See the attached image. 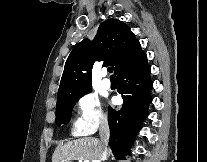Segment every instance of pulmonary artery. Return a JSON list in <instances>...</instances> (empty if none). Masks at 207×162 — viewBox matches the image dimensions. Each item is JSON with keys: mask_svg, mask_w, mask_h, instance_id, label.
I'll return each mask as SVG.
<instances>
[{"mask_svg": "<svg viewBox=\"0 0 207 162\" xmlns=\"http://www.w3.org/2000/svg\"><path fill=\"white\" fill-rule=\"evenodd\" d=\"M103 76H106V72L105 71L103 72ZM102 86H103L104 89H110L111 88L110 80L107 79V78L103 79Z\"/></svg>", "mask_w": 207, "mask_h": 162, "instance_id": "e3ab8cb5", "label": "pulmonary artery"}]
</instances>
